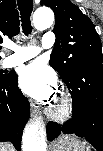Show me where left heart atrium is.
Segmentation results:
<instances>
[{"label": "left heart atrium", "mask_w": 103, "mask_h": 151, "mask_svg": "<svg viewBox=\"0 0 103 151\" xmlns=\"http://www.w3.org/2000/svg\"><path fill=\"white\" fill-rule=\"evenodd\" d=\"M19 86L26 95L43 102L53 99L57 83L54 73L37 60L20 71Z\"/></svg>", "instance_id": "39dd6f15"}]
</instances>
